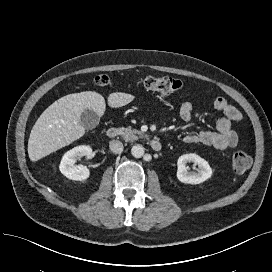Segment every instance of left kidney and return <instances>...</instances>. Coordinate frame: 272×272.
<instances>
[{
  "mask_svg": "<svg viewBox=\"0 0 272 272\" xmlns=\"http://www.w3.org/2000/svg\"><path fill=\"white\" fill-rule=\"evenodd\" d=\"M188 162H193L198 165V172H189L186 166ZM177 165V178L182 183L200 184L209 179L212 175V169L209 163L194 153L180 156Z\"/></svg>",
  "mask_w": 272,
  "mask_h": 272,
  "instance_id": "obj_1",
  "label": "left kidney"
}]
</instances>
